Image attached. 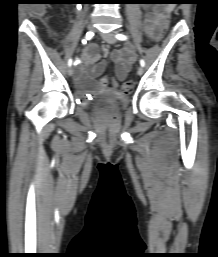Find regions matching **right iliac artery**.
Masks as SVG:
<instances>
[{
    "mask_svg": "<svg viewBox=\"0 0 218 257\" xmlns=\"http://www.w3.org/2000/svg\"><path fill=\"white\" fill-rule=\"evenodd\" d=\"M93 35H94V33H93L92 31L88 32V33L86 34L85 40H84L83 42L86 43V41L92 39ZM71 65H72V59L70 58V59L68 60V66H71Z\"/></svg>",
    "mask_w": 218,
    "mask_h": 257,
    "instance_id": "right-iliac-artery-1",
    "label": "right iliac artery"
}]
</instances>
